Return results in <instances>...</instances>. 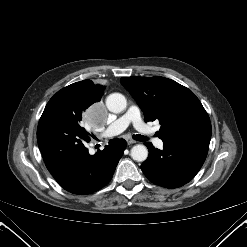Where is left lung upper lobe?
<instances>
[{"label": "left lung upper lobe", "mask_w": 247, "mask_h": 247, "mask_svg": "<svg viewBox=\"0 0 247 247\" xmlns=\"http://www.w3.org/2000/svg\"><path fill=\"white\" fill-rule=\"evenodd\" d=\"M121 84L136 100L146 121L159 120L163 142L184 136L211 137V123L196 95L164 77H122Z\"/></svg>", "instance_id": "1"}]
</instances>
